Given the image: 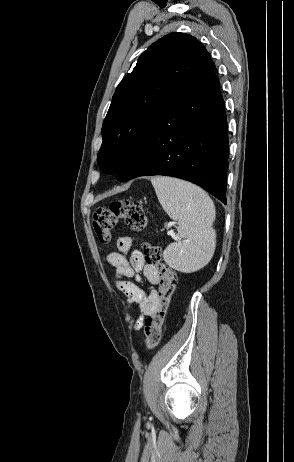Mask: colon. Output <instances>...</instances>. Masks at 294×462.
Instances as JSON below:
<instances>
[{
  "label": "colon",
  "instance_id": "colon-1",
  "mask_svg": "<svg viewBox=\"0 0 294 462\" xmlns=\"http://www.w3.org/2000/svg\"><path fill=\"white\" fill-rule=\"evenodd\" d=\"M121 221L130 229L140 231L146 227L147 217L142 205L132 200H119L100 208L93 216V228L98 241L110 242L117 223ZM144 261L155 267L158 276L157 305L145 321V342L147 349L155 348L161 341L166 314L177 286L176 272L162 260L161 249L145 243Z\"/></svg>",
  "mask_w": 294,
  "mask_h": 462
}]
</instances>
